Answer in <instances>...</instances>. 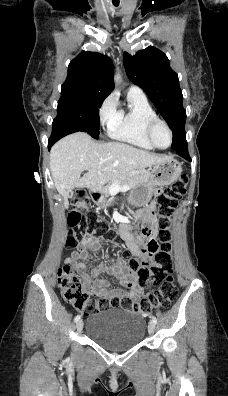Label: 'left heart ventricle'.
Here are the masks:
<instances>
[{"instance_id":"obj_1","label":"left heart ventricle","mask_w":228,"mask_h":396,"mask_svg":"<svg viewBox=\"0 0 228 396\" xmlns=\"http://www.w3.org/2000/svg\"><path fill=\"white\" fill-rule=\"evenodd\" d=\"M153 138L155 143L159 147H166L170 141V137L167 129L161 124L155 126L153 131Z\"/></svg>"}]
</instances>
